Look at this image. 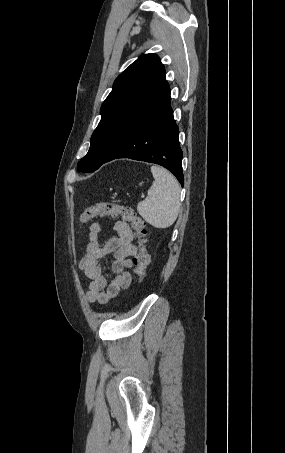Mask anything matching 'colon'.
<instances>
[{
    "mask_svg": "<svg viewBox=\"0 0 285 453\" xmlns=\"http://www.w3.org/2000/svg\"><path fill=\"white\" fill-rule=\"evenodd\" d=\"M97 216L121 217L125 221L130 222L139 245V252L133 258L134 278L138 282L144 280L150 264V255L145 245L147 234L145 222L135 214L133 208L130 206H123L108 201L98 202L93 206L85 208L80 215V222L81 224H86Z\"/></svg>",
    "mask_w": 285,
    "mask_h": 453,
    "instance_id": "obj_1",
    "label": "colon"
}]
</instances>
